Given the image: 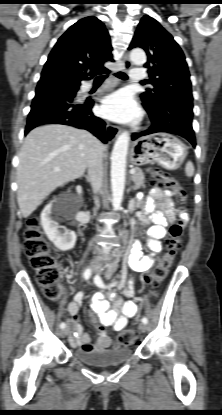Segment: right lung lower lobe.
<instances>
[{
  "instance_id": "right-lung-lower-lobe-1",
  "label": "right lung lower lobe",
  "mask_w": 222,
  "mask_h": 415,
  "mask_svg": "<svg viewBox=\"0 0 222 415\" xmlns=\"http://www.w3.org/2000/svg\"><path fill=\"white\" fill-rule=\"evenodd\" d=\"M80 81L54 71L41 73L28 115L25 134L47 123L70 125L93 133L107 143L105 122L93 115V101H76Z\"/></svg>"
}]
</instances>
